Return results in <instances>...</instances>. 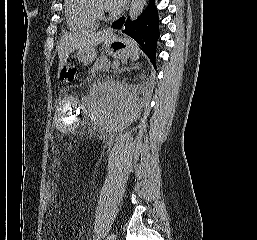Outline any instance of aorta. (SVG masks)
Segmentation results:
<instances>
[{
  "mask_svg": "<svg viewBox=\"0 0 257 240\" xmlns=\"http://www.w3.org/2000/svg\"><path fill=\"white\" fill-rule=\"evenodd\" d=\"M145 4L146 0H132L129 10V17L131 20H135L140 16Z\"/></svg>",
  "mask_w": 257,
  "mask_h": 240,
  "instance_id": "762f6f07",
  "label": "aorta"
}]
</instances>
